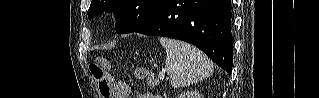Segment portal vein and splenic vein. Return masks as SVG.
Here are the masks:
<instances>
[{
  "label": "portal vein and splenic vein",
  "mask_w": 319,
  "mask_h": 98,
  "mask_svg": "<svg viewBox=\"0 0 319 98\" xmlns=\"http://www.w3.org/2000/svg\"><path fill=\"white\" fill-rule=\"evenodd\" d=\"M159 75H160V76H164V72H163V71L160 72Z\"/></svg>",
  "instance_id": "portal-vein-and-splenic-vein-1"
}]
</instances>
